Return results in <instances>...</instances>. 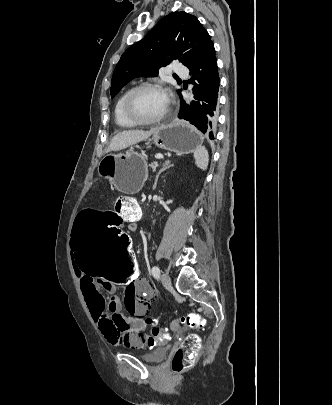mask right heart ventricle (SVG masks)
I'll return each instance as SVG.
<instances>
[{
	"instance_id": "obj_1",
	"label": "right heart ventricle",
	"mask_w": 332,
	"mask_h": 405,
	"mask_svg": "<svg viewBox=\"0 0 332 405\" xmlns=\"http://www.w3.org/2000/svg\"><path fill=\"white\" fill-rule=\"evenodd\" d=\"M129 91H130V89L124 90L117 98V100L115 102V106H114L115 122L118 126L124 127V128H130V127L136 126V124H134L133 122H131L130 120H128L125 117V115L123 113V109H122L124 98L126 97V95L128 94Z\"/></svg>"
}]
</instances>
